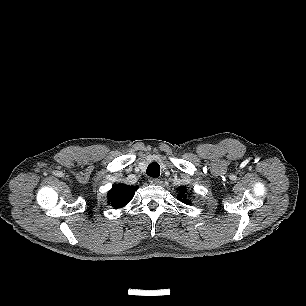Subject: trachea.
Segmentation results:
<instances>
[{"instance_id":"trachea-1","label":"trachea","mask_w":306,"mask_h":306,"mask_svg":"<svg viewBox=\"0 0 306 306\" xmlns=\"http://www.w3.org/2000/svg\"><path fill=\"white\" fill-rule=\"evenodd\" d=\"M147 175L153 178L159 177L160 175V166L156 162H152L147 167Z\"/></svg>"}]
</instances>
